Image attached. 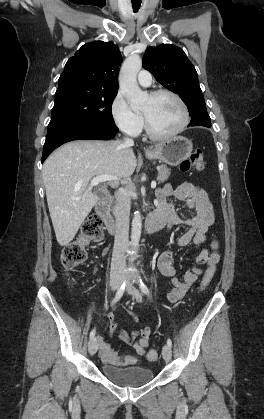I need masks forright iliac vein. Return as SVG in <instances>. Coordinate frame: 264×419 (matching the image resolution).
Instances as JSON below:
<instances>
[{
  "mask_svg": "<svg viewBox=\"0 0 264 419\" xmlns=\"http://www.w3.org/2000/svg\"><path fill=\"white\" fill-rule=\"evenodd\" d=\"M121 281H122L121 276L113 277L110 283L111 289L117 290L120 287ZM97 349H98V343H97V339L94 337L89 341L88 351L91 355H93L96 353Z\"/></svg>",
  "mask_w": 264,
  "mask_h": 419,
  "instance_id": "right-iliac-vein-1",
  "label": "right iliac vein"
}]
</instances>
